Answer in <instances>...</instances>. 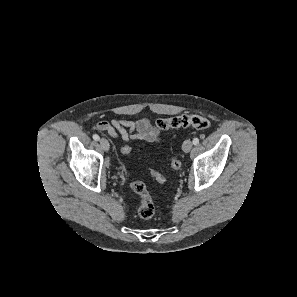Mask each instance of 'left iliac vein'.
I'll return each instance as SVG.
<instances>
[{
  "instance_id": "4c4485c4",
  "label": "left iliac vein",
  "mask_w": 297,
  "mask_h": 297,
  "mask_svg": "<svg viewBox=\"0 0 297 297\" xmlns=\"http://www.w3.org/2000/svg\"><path fill=\"white\" fill-rule=\"evenodd\" d=\"M192 146H193V144H192V141L191 140H189V139L185 140L184 143H183V145H182L183 151L185 153L190 152L191 149H192Z\"/></svg>"
}]
</instances>
